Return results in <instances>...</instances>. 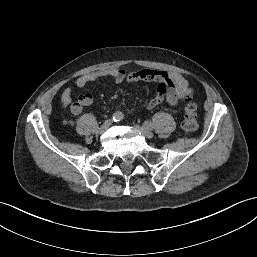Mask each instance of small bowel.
<instances>
[{
  "label": "small bowel",
  "instance_id": "obj_1",
  "mask_svg": "<svg viewBox=\"0 0 257 257\" xmlns=\"http://www.w3.org/2000/svg\"><path fill=\"white\" fill-rule=\"evenodd\" d=\"M103 78H111L117 84L123 82L136 83L139 81L157 83V92L148 102V109H154L164 100H166L170 106H176L181 100L192 94L189 81L182 74L148 68L130 73L120 68H107L92 71L78 77L75 81V85L78 88H84L88 83ZM61 101L66 106L70 105L71 113L77 116L81 114L84 107L92 105L93 96L90 93H83L78 97L77 101L72 102V89L67 87L62 93Z\"/></svg>",
  "mask_w": 257,
  "mask_h": 257
}]
</instances>
